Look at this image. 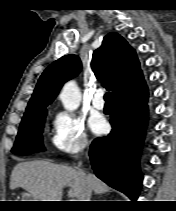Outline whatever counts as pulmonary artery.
Returning <instances> with one entry per match:
<instances>
[{
  "instance_id": "e3ab8cb5",
  "label": "pulmonary artery",
  "mask_w": 176,
  "mask_h": 211,
  "mask_svg": "<svg viewBox=\"0 0 176 211\" xmlns=\"http://www.w3.org/2000/svg\"><path fill=\"white\" fill-rule=\"evenodd\" d=\"M92 103H93V106L98 110H101L104 108L105 102L103 99V90L99 89L96 91L95 96L92 100Z\"/></svg>"
}]
</instances>
